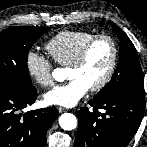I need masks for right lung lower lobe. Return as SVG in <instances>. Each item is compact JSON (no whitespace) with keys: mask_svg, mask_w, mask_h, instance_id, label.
I'll list each match as a JSON object with an SVG mask.
<instances>
[{"mask_svg":"<svg viewBox=\"0 0 147 147\" xmlns=\"http://www.w3.org/2000/svg\"><path fill=\"white\" fill-rule=\"evenodd\" d=\"M37 98L27 91L0 89V147H45L46 132L58 116L56 107L21 112Z\"/></svg>","mask_w":147,"mask_h":147,"instance_id":"obj_1","label":"right lung lower lobe"}]
</instances>
